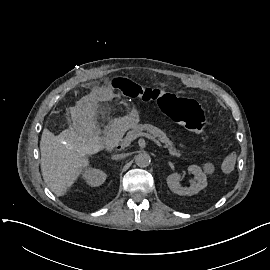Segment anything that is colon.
I'll return each mask as SVG.
<instances>
[{"mask_svg": "<svg viewBox=\"0 0 270 270\" xmlns=\"http://www.w3.org/2000/svg\"><path fill=\"white\" fill-rule=\"evenodd\" d=\"M111 87L119 89L129 98H141L146 103H157L163 114L189 131L203 132L207 128V122L201 107L193 99L180 97L172 92L145 88L126 78H113ZM234 165V158L226 156L220 162L219 169L223 173H228L233 169Z\"/></svg>", "mask_w": 270, "mask_h": 270, "instance_id": "obj_1", "label": "colon"}]
</instances>
